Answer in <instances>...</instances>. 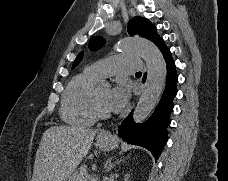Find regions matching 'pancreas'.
<instances>
[{
  "label": "pancreas",
  "mask_w": 228,
  "mask_h": 181,
  "mask_svg": "<svg viewBox=\"0 0 228 181\" xmlns=\"http://www.w3.org/2000/svg\"><path fill=\"white\" fill-rule=\"evenodd\" d=\"M70 181H96V179H93L92 175L88 173L85 165H81L80 169L70 177Z\"/></svg>",
  "instance_id": "pancreas-1"
}]
</instances>
